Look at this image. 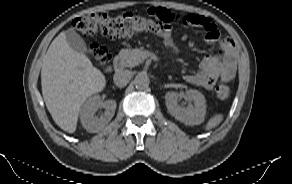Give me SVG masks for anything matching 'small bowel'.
Instances as JSON below:
<instances>
[{"instance_id":"small-bowel-1","label":"small bowel","mask_w":292,"mask_h":184,"mask_svg":"<svg viewBox=\"0 0 292 184\" xmlns=\"http://www.w3.org/2000/svg\"><path fill=\"white\" fill-rule=\"evenodd\" d=\"M185 25L200 27L205 30V41L209 44L219 42L218 52L204 57L200 64L199 71L186 74V82L200 86L206 90H211L216 81L220 79L223 82H229L235 76L237 70V53L233 41L229 38L220 40L218 27L207 17L199 14H189L183 18ZM165 46L172 51H177V45L168 29L160 34Z\"/></svg>"}]
</instances>
